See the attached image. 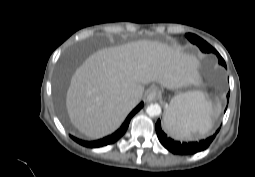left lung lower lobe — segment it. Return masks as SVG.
I'll return each mask as SVG.
<instances>
[{"label": "left lung lower lobe", "instance_id": "1", "mask_svg": "<svg viewBox=\"0 0 255 177\" xmlns=\"http://www.w3.org/2000/svg\"><path fill=\"white\" fill-rule=\"evenodd\" d=\"M229 94H227V102L229 101ZM227 109V107H226ZM225 109V111H226ZM156 133L161 144L171 153L177 155H192L197 152L203 151L209 147L211 142L216 137L220 128L216 131L213 136L208 137L207 139L196 141V142H179L167 136L161 128L160 119L157 121L156 125Z\"/></svg>", "mask_w": 255, "mask_h": 177}]
</instances>
